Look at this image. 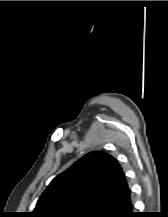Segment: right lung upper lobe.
I'll return each mask as SVG.
<instances>
[{
    "instance_id": "right-lung-upper-lobe-1",
    "label": "right lung upper lobe",
    "mask_w": 168,
    "mask_h": 217,
    "mask_svg": "<svg viewBox=\"0 0 168 217\" xmlns=\"http://www.w3.org/2000/svg\"><path fill=\"white\" fill-rule=\"evenodd\" d=\"M130 200L117 160L90 152L55 177L39 198L31 217H103Z\"/></svg>"
}]
</instances>
